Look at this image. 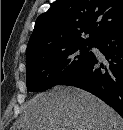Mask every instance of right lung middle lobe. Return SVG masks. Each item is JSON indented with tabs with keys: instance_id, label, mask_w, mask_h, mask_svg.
<instances>
[{
	"instance_id": "1",
	"label": "right lung middle lobe",
	"mask_w": 123,
	"mask_h": 130,
	"mask_svg": "<svg viewBox=\"0 0 123 130\" xmlns=\"http://www.w3.org/2000/svg\"><path fill=\"white\" fill-rule=\"evenodd\" d=\"M93 44H78L26 61L27 91L43 92L60 84L92 54Z\"/></svg>"
}]
</instances>
